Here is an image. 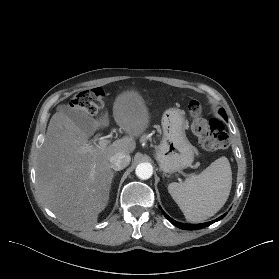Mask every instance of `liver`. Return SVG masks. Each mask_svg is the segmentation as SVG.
<instances>
[{
    "label": "liver",
    "instance_id": "liver-1",
    "mask_svg": "<svg viewBox=\"0 0 279 279\" xmlns=\"http://www.w3.org/2000/svg\"><path fill=\"white\" fill-rule=\"evenodd\" d=\"M116 124L127 135L110 145H90L84 132L60 109L51 117L36 165L39 194L64 224L79 230L97 223L109 200L112 182L110 157L130 154L149 125V112L142 96L134 90L120 93L113 103ZM95 129L109 125L108 113L94 120ZM92 146L91 152L84 149Z\"/></svg>",
    "mask_w": 279,
    "mask_h": 279
}]
</instances>
